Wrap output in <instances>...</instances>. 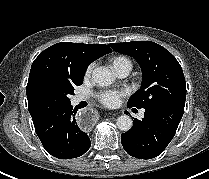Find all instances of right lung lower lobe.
I'll return each mask as SVG.
<instances>
[{"label":"right lung lower lobe","mask_w":209,"mask_h":179,"mask_svg":"<svg viewBox=\"0 0 209 179\" xmlns=\"http://www.w3.org/2000/svg\"><path fill=\"white\" fill-rule=\"evenodd\" d=\"M75 114L76 110L68 103L34 123L42 145L52 156L60 159L76 158L90 148L91 141L78 126Z\"/></svg>","instance_id":"right-lung-lower-lobe-1"}]
</instances>
